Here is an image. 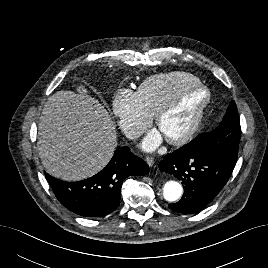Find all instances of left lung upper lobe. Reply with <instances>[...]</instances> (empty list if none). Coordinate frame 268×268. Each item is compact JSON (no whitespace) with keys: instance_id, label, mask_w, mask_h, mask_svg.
<instances>
[{"instance_id":"1","label":"left lung upper lobe","mask_w":268,"mask_h":268,"mask_svg":"<svg viewBox=\"0 0 268 268\" xmlns=\"http://www.w3.org/2000/svg\"><path fill=\"white\" fill-rule=\"evenodd\" d=\"M240 120L234 101H231L220 125L211 132L203 133L183 146V149L222 155L236 161L240 140Z\"/></svg>"}]
</instances>
